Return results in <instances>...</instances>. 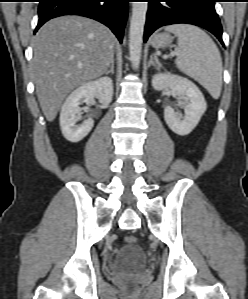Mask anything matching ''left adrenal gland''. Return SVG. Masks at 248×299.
<instances>
[{"label":"left adrenal gland","instance_id":"obj_1","mask_svg":"<svg viewBox=\"0 0 248 299\" xmlns=\"http://www.w3.org/2000/svg\"><path fill=\"white\" fill-rule=\"evenodd\" d=\"M151 65H153L157 70L159 69V66H158L157 63L154 61V58H153L152 55L150 56V61H149V63H148V66H151Z\"/></svg>","mask_w":248,"mask_h":299}]
</instances>
